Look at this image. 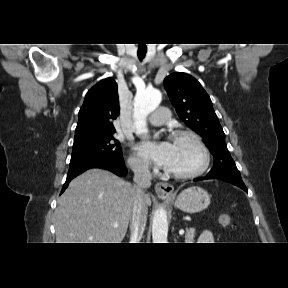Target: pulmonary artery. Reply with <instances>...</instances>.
<instances>
[{
    "label": "pulmonary artery",
    "mask_w": 288,
    "mask_h": 288,
    "mask_svg": "<svg viewBox=\"0 0 288 288\" xmlns=\"http://www.w3.org/2000/svg\"><path fill=\"white\" fill-rule=\"evenodd\" d=\"M170 119V112L166 107H158L149 122L152 127H160Z\"/></svg>",
    "instance_id": "obj_1"
}]
</instances>
